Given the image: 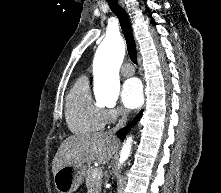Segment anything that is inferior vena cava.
<instances>
[{
	"label": "inferior vena cava",
	"mask_w": 221,
	"mask_h": 193,
	"mask_svg": "<svg viewBox=\"0 0 221 193\" xmlns=\"http://www.w3.org/2000/svg\"><path fill=\"white\" fill-rule=\"evenodd\" d=\"M121 118L118 121V124L110 131L111 133H116L119 129L123 128L126 125L127 122V110H121L120 112Z\"/></svg>",
	"instance_id": "inferior-vena-cava-1"
}]
</instances>
